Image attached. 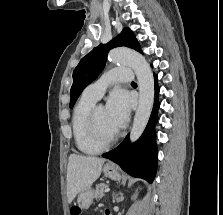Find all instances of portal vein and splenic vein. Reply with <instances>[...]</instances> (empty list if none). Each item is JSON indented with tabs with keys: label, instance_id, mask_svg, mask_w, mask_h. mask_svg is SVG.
<instances>
[{
	"label": "portal vein and splenic vein",
	"instance_id": "1",
	"mask_svg": "<svg viewBox=\"0 0 223 215\" xmlns=\"http://www.w3.org/2000/svg\"><path fill=\"white\" fill-rule=\"evenodd\" d=\"M105 190V192L104 193H108L109 191H112V188H110V186H107V188L106 189H104Z\"/></svg>",
	"mask_w": 223,
	"mask_h": 215
}]
</instances>
